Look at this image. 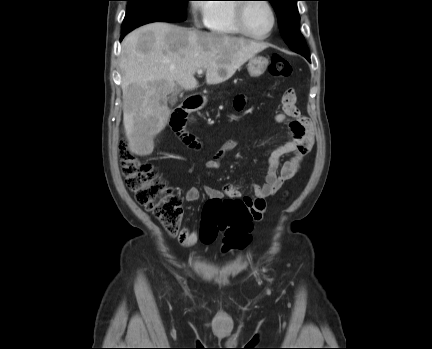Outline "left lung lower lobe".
<instances>
[{
    "label": "left lung lower lobe",
    "instance_id": "1",
    "mask_svg": "<svg viewBox=\"0 0 432 349\" xmlns=\"http://www.w3.org/2000/svg\"><path fill=\"white\" fill-rule=\"evenodd\" d=\"M300 54L303 55L310 62V55H309V53H300Z\"/></svg>",
    "mask_w": 432,
    "mask_h": 349
}]
</instances>
